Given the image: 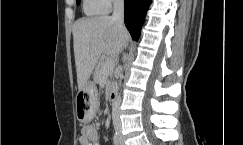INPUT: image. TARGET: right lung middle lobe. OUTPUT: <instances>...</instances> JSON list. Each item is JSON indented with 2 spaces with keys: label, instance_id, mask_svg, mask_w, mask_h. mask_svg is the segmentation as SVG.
I'll list each match as a JSON object with an SVG mask.
<instances>
[{
  "label": "right lung middle lobe",
  "instance_id": "right-lung-middle-lobe-1",
  "mask_svg": "<svg viewBox=\"0 0 243 145\" xmlns=\"http://www.w3.org/2000/svg\"><path fill=\"white\" fill-rule=\"evenodd\" d=\"M76 2H77V4H79L80 0H77Z\"/></svg>",
  "mask_w": 243,
  "mask_h": 145
}]
</instances>
